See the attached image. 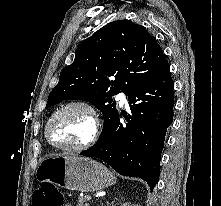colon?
Masks as SVG:
<instances>
[{
    "mask_svg": "<svg viewBox=\"0 0 221 206\" xmlns=\"http://www.w3.org/2000/svg\"><path fill=\"white\" fill-rule=\"evenodd\" d=\"M33 206H65L63 194L49 184L37 188L32 196Z\"/></svg>",
    "mask_w": 221,
    "mask_h": 206,
    "instance_id": "5ec220e1",
    "label": "colon"
}]
</instances>
